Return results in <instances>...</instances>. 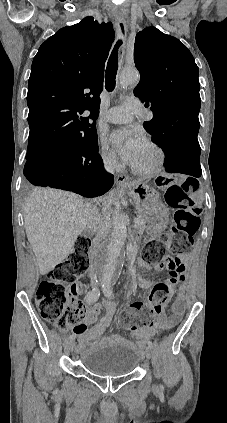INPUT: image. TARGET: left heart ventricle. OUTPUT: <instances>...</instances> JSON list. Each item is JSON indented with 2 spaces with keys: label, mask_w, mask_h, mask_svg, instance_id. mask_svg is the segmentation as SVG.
<instances>
[{
  "label": "left heart ventricle",
  "mask_w": 227,
  "mask_h": 423,
  "mask_svg": "<svg viewBox=\"0 0 227 423\" xmlns=\"http://www.w3.org/2000/svg\"><path fill=\"white\" fill-rule=\"evenodd\" d=\"M156 158L155 150L148 145H144L134 166L141 169L149 168L155 163Z\"/></svg>",
  "instance_id": "1"
}]
</instances>
